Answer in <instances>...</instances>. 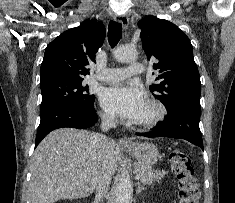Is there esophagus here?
I'll list each match as a JSON object with an SVG mask.
<instances>
[{"label":"esophagus","instance_id":"34e87169","mask_svg":"<svg viewBox=\"0 0 235 203\" xmlns=\"http://www.w3.org/2000/svg\"><path fill=\"white\" fill-rule=\"evenodd\" d=\"M113 18L116 22L121 23L123 28L126 29L128 27L129 20H128V17L126 15H114ZM118 143L121 146H130L132 144V142L129 139L125 138V137L120 138Z\"/></svg>","mask_w":235,"mask_h":203}]
</instances>
